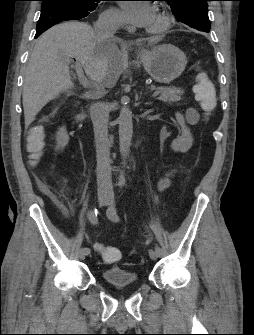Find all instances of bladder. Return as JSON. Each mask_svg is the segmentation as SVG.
Listing matches in <instances>:
<instances>
[{"label":"bladder","instance_id":"31cf9c89","mask_svg":"<svg viewBox=\"0 0 254 335\" xmlns=\"http://www.w3.org/2000/svg\"><path fill=\"white\" fill-rule=\"evenodd\" d=\"M102 276L104 281L113 289L132 287L137 283L135 272L117 266L105 269Z\"/></svg>","mask_w":254,"mask_h":335}]
</instances>
